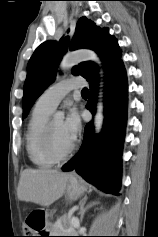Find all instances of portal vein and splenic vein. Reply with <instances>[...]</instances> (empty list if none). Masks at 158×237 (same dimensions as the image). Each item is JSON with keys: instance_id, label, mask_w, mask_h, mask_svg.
<instances>
[{"instance_id": "portal-vein-and-splenic-vein-1", "label": "portal vein and splenic vein", "mask_w": 158, "mask_h": 237, "mask_svg": "<svg viewBox=\"0 0 158 237\" xmlns=\"http://www.w3.org/2000/svg\"><path fill=\"white\" fill-rule=\"evenodd\" d=\"M69 225L79 227V220L75 217H72L69 221Z\"/></svg>"}]
</instances>
